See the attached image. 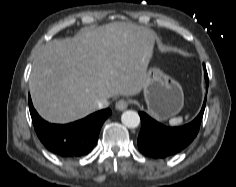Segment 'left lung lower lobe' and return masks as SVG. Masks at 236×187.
Wrapping results in <instances>:
<instances>
[{
  "label": "left lung lower lobe",
  "instance_id": "obj_1",
  "mask_svg": "<svg viewBox=\"0 0 236 187\" xmlns=\"http://www.w3.org/2000/svg\"><path fill=\"white\" fill-rule=\"evenodd\" d=\"M208 89V79L206 80ZM206 98L198 116L189 124L181 127L164 126L144 112H139L141 130L138 136V148L142 154L152 158L172 156L187 147L196 137L203 118Z\"/></svg>",
  "mask_w": 236,
  "mask_h": 187
}]
</instances>
